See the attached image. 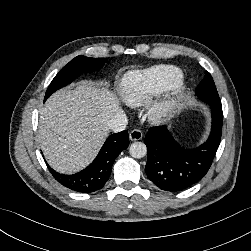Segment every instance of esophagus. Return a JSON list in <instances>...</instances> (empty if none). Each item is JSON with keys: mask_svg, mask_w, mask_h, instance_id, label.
<instances>
[{"mask_svg": "<svg viewBox=\"0 0 251 251\" xmlns=\"http://www.w3.org/2000/svg\"><path fill=\"white\" fill-rule=\"evenodd\" d=\"M142 137H143V133L139 129H134L129 134V138H130L131 141L140 140Z\"/></svg>", "mask_w": 251, "mask_h": 251, "instance_id": "esophagus-1", "label": "esophagus"}]
</instances>
